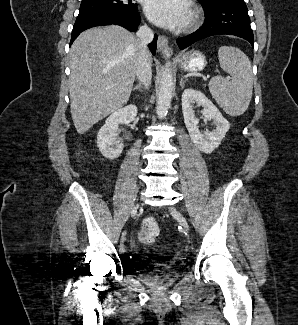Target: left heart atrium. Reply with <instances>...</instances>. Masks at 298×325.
<instances>
[{
	"mask_svg": "<svg viewBox=\"0 0 298 325\" xmlns=\"http://www.w3.org/2000/svg\"><path fill=\"white\" fill-rule=\"evenodd\" d=\"M144 12L150 22L165 29H177L189 19L184 0H145Z\"/></svg>",
	"mask_w": 298,
	"mask_h": 325,
	"instance_id": "1",
	"label": "left heart atrium"
}]
</instances>
